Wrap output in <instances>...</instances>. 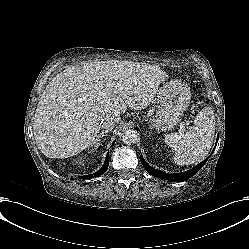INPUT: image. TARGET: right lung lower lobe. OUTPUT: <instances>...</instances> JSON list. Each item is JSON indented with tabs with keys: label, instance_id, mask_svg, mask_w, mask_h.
Masks as SVG:
<instances>
[{
	"label": "right lung lower lobe",
	"instance_id": "right-lung-lower-lobe-1",
	"mask_svg": "<svg viewBox=\"0 0 249 249\" xmlns=\"http://www.w3.org/2000/svg\"><path fill=\"white\" fill-rule=\"evenodd\" d=\"M108 165H109V155L107 154L105 162H104V165L101 167V169H99L97 172H95L93 174H90V175H87V176H83L82 178H84V179H91V178H94L95 176L102 175V174H104L106 172V170L108 168Z\"/></svg>",
	"mask_w": 249,
	"mask_h": 249
}]
</instances>
